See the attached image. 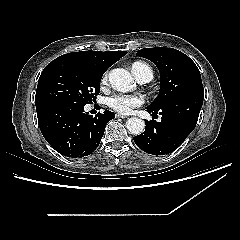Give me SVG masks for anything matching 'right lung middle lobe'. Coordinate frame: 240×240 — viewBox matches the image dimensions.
Listing matches in <instances>:
<instances>
[{
	"label": "right lung middle lobe",
	"instance_id": "obj_1",
	"mask_svg": "<svg viewBox=\"0 0 240 240\" xmlns=\"http://www.w3.org/2000/svg\"><path fill=\"white\" fill-rule=\"evenodd\" d=\"M102 76V72L94 71L84 62L70 58L55 59L40 75L35 105L40 107L66 101L85 106L98 95Z\"/></svg>",
	"mask_w": 240,
	"mask_h": 240
}]
</instances>
